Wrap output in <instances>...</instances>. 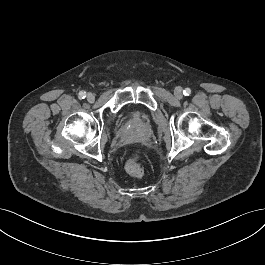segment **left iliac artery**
<instances>
[{
  "mask_svg": "<svg viewBox=\"0 0 265 265\" xmlns=\"http://www.w3.org/2000/svg\"><path fill=\"white\" fill-rule=\"evenodd\" d=\"M183 94L186 96V95H190L191 94V90L189 88H186L184 91H183Z\"/></svg>",
  "mask_w": 265,
  "mask_h": 265,
  "instance_id": "left-iliac-artery-1",
  "label": "left iliac artery"
}]
</instances>
